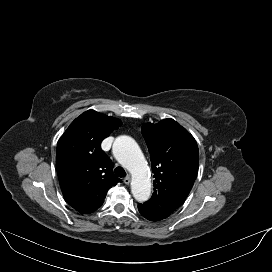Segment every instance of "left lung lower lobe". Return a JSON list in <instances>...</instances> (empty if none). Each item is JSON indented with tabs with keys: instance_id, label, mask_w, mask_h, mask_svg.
I'll list each match as a JSON object with an SVG mask.
<instances>
[{
	"instance_id": "left-lung-lower-lobe-1",
	"label": "left lung lower lobe",
	"mask_w": 272,
	"mask_h": 272,
	"mask_svg": "<svg viewBox=\"0 0 272 272\" xmlns=\"http://www.w3.org/2000/svg\"><path fill=\"white\" fill-rule=\"evenodd\" d=\"M138 210H139L140 214L148 220L159 221V220L164 219L163 217L153 213L152 211L148 210L147 208L143 207L140 204H138Z\"/></svg>"
}]
</instances>
